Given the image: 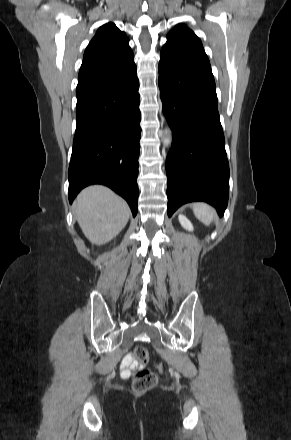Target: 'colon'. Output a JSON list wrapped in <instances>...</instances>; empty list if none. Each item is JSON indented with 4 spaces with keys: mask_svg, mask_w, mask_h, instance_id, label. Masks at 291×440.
<instances>
[{
    "mask_svg": "<svg viewBox=\"0 0 291 440\" xmlns=\"http://www.w3.org/2000/svg\"><path fill=\"white\" fill-rule=\"evenodd\" d=\"M137 360L146 363L149 360V352L146 348L138 346L135 349ZM158 382L156 374L150 370H140L136 372L133 378L132 388L135 393H146L152 389Z\"/></svg>",
    "mask_w": 291,
    "mask_h": 440,
    "instance_id": "colon-1",
    "label": "colon"
}]
</instances>
